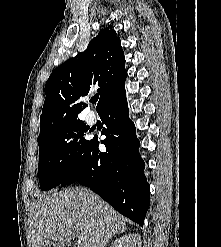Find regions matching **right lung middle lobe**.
Instances as JSON below:
<instances>
[{
	"instance_id": "1",
	"label": "right lung middle lobe",
	"mask_w": 221,
	"mask_h": 247,
	"mask_svg": "<svg viewBox=\"0 0 221 247\" xmlns=\"http://www.w3.org/2000/svg\"><path fill=\"white\" fill-rule=\"evenodd\" d=\"M89 128L82 121L67 124L39 137L38 175L40 189L59 186L86 152Z\"/></svg>"
}]
</instances>
